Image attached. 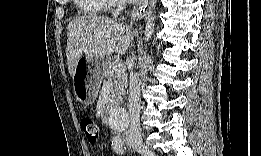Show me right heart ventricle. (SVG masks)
I'll return each instance as SVG.
<instances>
[{
    "label": "right heart ventricle",
    "instance_id": "1",
    "mask_svg": "<svg viewBox=\"0 0 261 156\" xmlns=\"http://www.w3.org/2000/svg\"><path fill=\"white\" fill-rule=\"evenodd\" d=\"M77 4L80 5L81 7H83L85 10H93L96 9L99 1L97 0H79L77 1Z\"/></svg>",
    "mask_w": 261,
    "mask_h": 156
}]
</instances>
